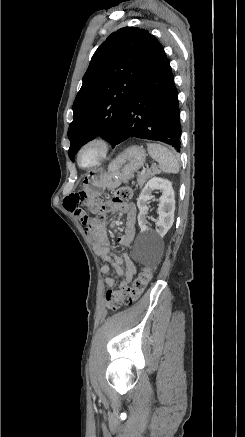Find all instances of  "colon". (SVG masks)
<instances>
[{
    "label": "colon",
    "mask_w": 245,
    "mask_h": 437,
    "mask_svg": "<svg viewBox=\"0 0 245 437\" xmlns=\"http://www.w3.org/2000/svg\"><path fill=\"white\" fill-rule=\"evenodd\" d=\"M132 191L128 187L118 189L112 200L102 202L97 209V217L104 218L113 203H128L131 199ZM155 269L145 267L139 273L137 278L130 286L123 287L119 290L108 291L105 295L106 307L109 311H118L123 305H131L136 302L144 292L148 283L153 278Z\"/></svg>",
    "instance_id": "1"
}]
</instances>
